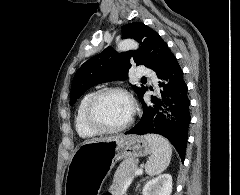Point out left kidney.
I'll return each mask as SVG.
<instances>
[{"instance_id": "obj_1", "label": "left kidney", "mask_w": 240, "mask_h": 195, "mask_svg": "<svg viewBox=\"0 0 240 195\" xmlns=\"http://www.w3.org/2000/svg\"><path fill=\"white\" fill-rule=\"evenodd\" d=\"M143 195H171L172 193V175L170 173H161L153 179H149L142 189Z\"/></svg>"}]
</instances>
